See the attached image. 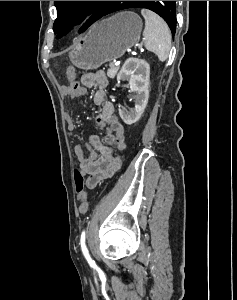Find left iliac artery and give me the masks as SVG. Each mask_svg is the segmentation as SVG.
<instances>
[{
    "label": "left iliac artery",
    "mask_w": 237,
    "mask_h": 300,
    "mask_svg": "<svg viewBox=\"0 0 237 300\" xmlns=\"http://www.w3.org/2000/svg\"><path fill=\"white\" fill-rule=\"evenodd\" d=\"M81 248H82V252H83L85 258L87 259L88 263L90 264V266L91 267H96L95 262L89 256L88 250L86 248V245H85V232L84 231L81 234Z\"/></svg>",
    "instance_id": "left-iliac-artery-1"
}]
</instances>
